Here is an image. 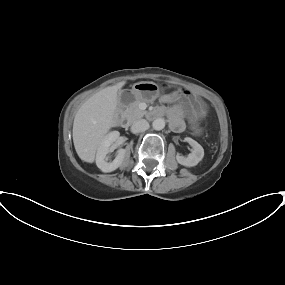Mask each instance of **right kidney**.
I'll list each match as a JSON object with an SVG mask.
<instances>
[{
	"mask_svg": "<svg viewBox=\"0 0 285 285\" xmlns=\"http://www.w3.org/2000/svg\"><path fill=\"white\" fill-rule=\"evenodd\" d=\"M119 136L118 131L110 132L97 149L96 165L102 172H112L120 167L124 161L126 150L119 149L116 158L112 162H107L106 155L112 150V146L119 139Z\"/></svg>",
	"mask_w": 285,
	"mask_h": 285,
	"instance_id": "right-kidney-1",
	"label": "right kidney"
}]
</instances>
